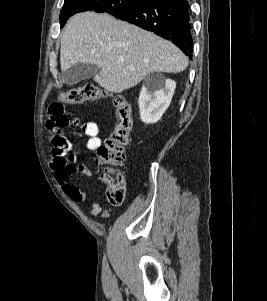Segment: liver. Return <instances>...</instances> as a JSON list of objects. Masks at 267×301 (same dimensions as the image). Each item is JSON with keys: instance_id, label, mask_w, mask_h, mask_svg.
<instances>
[{"instance_id": "liver-1", "label": "liver", "mask_w": 267, "mask_h": 301, "mask_svg": "<svg viewBox=\"0 0 267 301\" xmlns=\"http://www.w3.org/2000/svg\"><path fill=\"white\" fill-rule=\"evenodd\" d=\"M76 63L100 68L94 80L113 93L136 86L149 73H179L188 58L171 42L108 14L74 15L61 39L60 64L65 71Z\"/></svg>"}]
</instances>
